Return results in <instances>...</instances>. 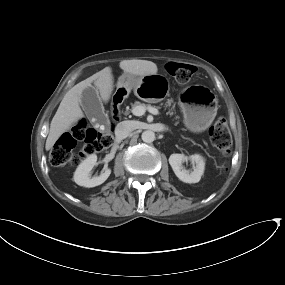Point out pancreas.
<instances>
[{"label": "pancreas", "mask_w": 285, "mask_h": 285, "mask_svg": "<svg viewBox=\"0 0 285 285\" xmlns=\"http://www.w3.org/2000/svg\"><path fill=\"white\" fill-rule=\"evenodd\" d=\"M139 105L144 106L145 108L151 107V105H146V104H144V103H140V102L137 101V102H135V103L132 105V109H133L134 107H136V106H139ZM165 106H166V107L172 106L171 110H173L174 107H175V105H173V100H171V99H168V100H167V102L165 103ZM131 111H132V110H131Z\"/></svg>", "instance_id": "obj_1"}]
</instances>
